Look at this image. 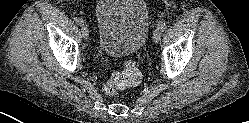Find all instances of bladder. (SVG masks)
Listing matches in <instances>:
<instances>
[{"mask_svg": "<svg viewBox=\"0 0 249 123\" xmlns=\"http://www.w3.org/2000/svg\"><path fill=\"white\" fill-rule=\"evenodd\" d=\"M95 18L99 49L110 57H124L137 52L150 29L144 0H99Z\"/></svg>", "mask_w": 249, "mask_h": 123, "instance_id": "1", "label": "bladder"}]
</instances>
